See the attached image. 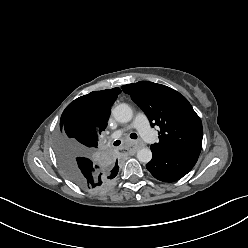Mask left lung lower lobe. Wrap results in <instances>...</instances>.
Masks as SVG:
<instances>
[{
	"label": "left lung lower lobe",
	"instance_id": "obj_1",
	"mask_svg": "<svg viewBox=\"0 0 248 248\" xmlns=\"http://www.w3.org/2000/svg\"><path fill=\"white\" fill-rule=\"evenodd\" d=\"M152 160L146 165L158 180L174 182L185 176L198 160L201 149L191 148L174 151L152 149Z\"/></svg>",
	"mask_w": 248,
	"mask_h": 248
}]
</instances>
